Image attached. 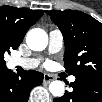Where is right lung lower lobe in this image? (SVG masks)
<instances>
[{
  "mask_svg": "<svg viewBox=\"0 0 102 102\" xmlns=\"http://www.w3.org/2000/svg\"><path fill=\"white\" fill-rule=\"evenodd\" d=\"M43 74L34 70L17 75L12 70L0 69V96L5 102H27L33 87L40 85Z\"/></svg>",
  "mask_w": 102,
  "mask_h": 102,
  "instance_id": "right-lung-lower-lobe-1",
  "label": "right lung lower lobe"
}]
</instances>
